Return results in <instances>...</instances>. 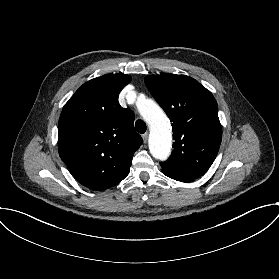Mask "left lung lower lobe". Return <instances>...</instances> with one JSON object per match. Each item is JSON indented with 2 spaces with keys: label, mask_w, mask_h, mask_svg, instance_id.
<instances>
[{
  "label": "left lung lower lobe",
  "mask_w": 279,
  "mask_h": 279,
  "mask_svg": "<svg viewBox=\"0 0 279 279\" xmlns=\"http://www.w3.org/2000/svg\"><path fill=\"white\" fill-rule=\"evenodd\" d=\"M162 172H163L166 176H168V177H170V178H172V179H174V180L181 181V182H185V181H183L181 178H179V177H177V176H175V175H172L171 173H169V172H167V171L162 170Z\"/></svg>",
  "instance_id": "0a47b994"
}]
</instances>
